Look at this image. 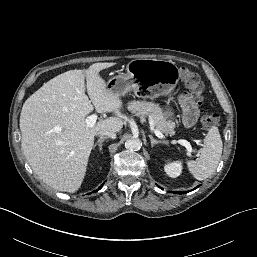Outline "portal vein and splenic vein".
I'll use <instances>...</instances> for the list:
<instances>
[{"mask_svg":"<svg viewBox=\"0 0 257 257\" xmlns=\"http://www.w3.org/2000/svg\"><path fill=\"white\" fill-rule=\"evenodd\" d=\"M97 119H98L97 114H92V115H90V116H88V117L86 118L85 122H86V124H87L88 126L93 127V126L95 125ZM151 126H152V128H153V130H154L155 135H156L158 138H165V136H164L160 131H158L157 129H154L153 123H151ZM177 142H178L179 144L185 146V147L187 148V150H189V151L192 150V147H191L190 143L187 142L186 140L180 139V140H178Z\"/></svg>","mask_w":257,"mask_h":257,"instance_id":"obj_1","label":"portal vein and splenic vein"}]
</instances>
